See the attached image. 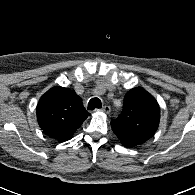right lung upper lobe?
Segmentation results:
<instances>
[{
  "instance_id": "1",
  "label": "right lung upper lobe",
  "mask_w": 195,
  "mask_h": 195,
  "mask_svg": "<svg viewBox=\"0 0 195 195\" xmlns=\"http://www.w3.org/2000/svg\"><path fill=\"white\" fill-rule=\"evenodd\" d=\"M88 116L82 99L75 91L60 86L47 91L37 105L40 127L49 137L58 141L71 139Z\"/></svg>"
}]
</instances>
